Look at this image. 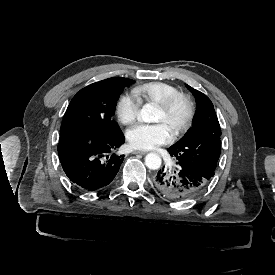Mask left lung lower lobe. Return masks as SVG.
Masks as SVG:
<instances>
[{
  "mask_svg": "<svg viewBox=\"0 0 275 275\" xmlns=\"http://www.w3.org/2000/svg\"><path fill=\"white\" fill-rule=\"evenodd\" d=\"M175 169L162 168L153 179L157 191L169 200L193 198L205 190L209 179L183 164L176 163Z\"/></svg>",
  "mask_w": 275,
  "mask_h": 275,
  "instance_id": "obj_1",
  "label": "left lung lower lobe"
}]
</instances>
